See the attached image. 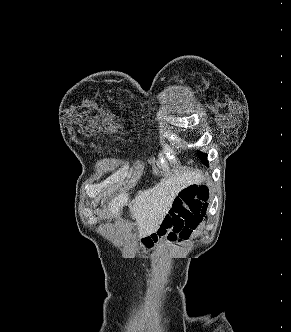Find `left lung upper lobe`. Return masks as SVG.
<instances>
[{
	"mask_svg": "<svg viewBox=\"0 0 291 332\" xmlns=\"http://www.w3.org/2000/svg\"><path fill=\"white\" fill-rule=\"evenodd\" d=\"M198 155H199L200 159L202 160V162H204L206 165H208L207 154H204L202 152H198Z\"/></svg>",
	"mask_w": 291,
	"mask_h": 332,
	"instance_id": "5c2ea615",
	"label": "left lung upper lobe"
}]
</instances>
